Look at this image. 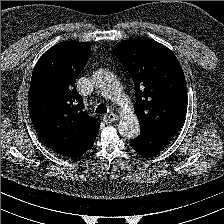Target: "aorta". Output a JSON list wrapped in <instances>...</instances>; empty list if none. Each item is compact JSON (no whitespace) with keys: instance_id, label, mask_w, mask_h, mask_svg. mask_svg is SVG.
I'll return each instance as SVG.
<instances>
[{"instance_id":"obj_1","label":"aorta","mask_w":224,"mask_h":224,"mask_svg":"<svg viewBox=\"0 0 224 224\" xmlns=\"http://www.w3.org/2000/svg\"><path fill=\"white\" fill-rule=\"evenodd\" d=\"M96 85L101 93L118 105L123 112L118 125L119 133L125 138H134L139 135L140 126L138 118L116 76L110 72H102L96 78Z\"/></svg>"}]
</instances>
